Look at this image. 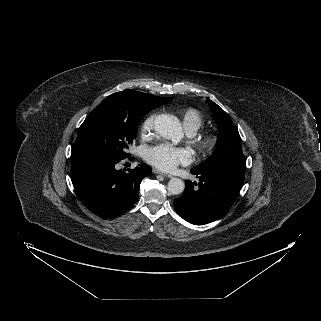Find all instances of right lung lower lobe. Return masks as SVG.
<instances>
[{"mask_svg":"<svg viewBox=\"0 0 321 321\" xmlns=\"http://www.w3.org/2000/svg\"><path fill=\"white\" fill-rule=\"evenodd\" d=\"M118 162L95 156L71 158L76 194L87 209L106 219L120 216L136 203L142 179L152 172L146 164L122 172L115 168Z\"/></svg>","mask_w":321,"mask_h":321,"instance_id":"98d812e1","label":"right lung lower lobe"}]
</instances>
